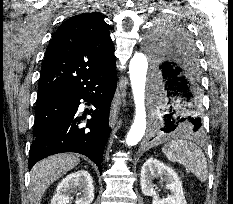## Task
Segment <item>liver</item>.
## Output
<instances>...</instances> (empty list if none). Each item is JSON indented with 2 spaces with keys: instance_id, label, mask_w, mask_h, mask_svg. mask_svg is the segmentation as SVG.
I'll use <instances>...</instances> for the list:
<instances>
[{
  "instance_id": "obj_1",
  "label": "liver",
  "mask_w": 233,
  "mask_h": 204,
  "mask_svg": "<svg viewBox=\"0 0 233 204\" xmlns=\"http://www.w3.org/2000/svg\"><path fill=\"white\" fill-rule=\"evenodd\" d=\"M80 159L71 153L50 156L37 163L31 171V200L40 204L46 189L59 177L78 165Z\"/></svg>"
}]
</instances>
